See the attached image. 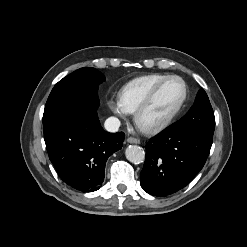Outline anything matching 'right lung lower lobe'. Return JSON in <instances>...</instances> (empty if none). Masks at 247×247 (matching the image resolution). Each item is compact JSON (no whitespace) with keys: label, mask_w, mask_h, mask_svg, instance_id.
<instances>
[{"label":"right lung lower lobe","mask_w":247,"mask_h":247,"mask_svg":"<svg viewBox=\"0 0 247 247\" xmlns=\"http://www.w3.org/2000/svg\"><path fill=\"white\" fill-rule=\"evenodd\" d=\"M50 161L61 179L82 191L100 188L108 157L123 146L124 133H108L97 112L80 113L44 127Z\"/></svg>","instance_id":"obj_1"}]
</instances>
